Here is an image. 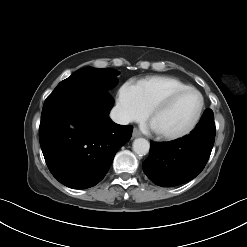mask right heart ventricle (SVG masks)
I'll list each match as a JSON object with an SVG mask.
<instances>
[{
  "label": "right heart ventricle",
  "mask_w": 247,
  "mask_h": 247,
  "mask_svg": "<svg viewBox=\"0 0 247 247\" xmlns=\"http://www.w3.org/2000/svg\"><path fill=\"white\" fill-rule=\"evenodd\" d=\"M134 86L146 110H149L155 102L166 94L177 89L189 87V85L183 81L169 76L147 77L138 81Z\"/></svg>",
  "instance_id": "right-heart-ventricle-1"
}]
</instances>
